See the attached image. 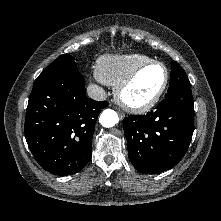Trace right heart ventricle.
Returning a JSON list of instances; mask_svg holds the SVG:
<instances>
[{
  "mask_svg": "<svg viewBox=\"0 0 221 221\" xmlns=\"http://www.w3.org/2000/svg\"><path fill=\"white\" fill-rule=\"evenodd\" d=\"M152 59L144 54L104 55L96 64L98 78L107 85L118 86L140 65Z\"/></svg>",
  "mask_w": 221,
  "mask_h": 221,
  "instance_id": "right-heart-ventricle-1",
  "label": "right heart ventricle"
}]
</instances>
